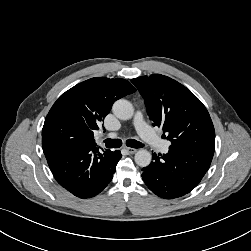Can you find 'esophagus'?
I'll use <instances>...</instances> for the list:
<instances>
[{"label":"esophagus","mask_w":251,"mask_h":251,"mask_svg":"<svg viewBox=\"0 0 251 251\" xmlns=\"http://www.w3.org/2000/svg\"><path fill=\"white\" fill-rule=\"evenodd\" d=\"M125 150H126L129 154H134V153L137 152V149L131 148V147H126Z\"/></svg>","instance_id":"obj_1"}]
</instances>
